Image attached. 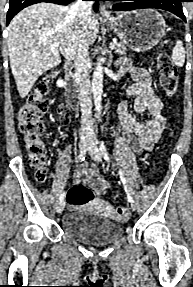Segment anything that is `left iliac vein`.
<instances>
[{
    "label": "left iliac vein",
    "mask_w": 193,
    "mask_h": 287,
    "mask_svg": "<svg viewBox=\"0 0 193 287\" xmlns=\"http://www.w3.org/2000/svg\"><path fill=\"white\" fill-rule=\"evenodd\" d=\"M88 153L90 155V157L97 163H101L102 162V153L100 152V149L97 146V138L96 136H93L91 138V143L88 147ZM131 208L132 210L136 209V206L134 203H131Z\"/></svg>",
    "instance_id": "4c4485c4"
}]
</instances>
